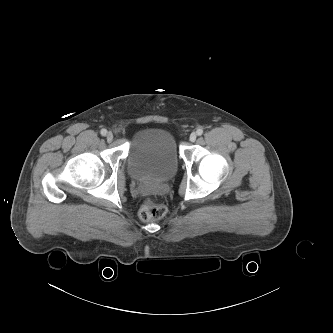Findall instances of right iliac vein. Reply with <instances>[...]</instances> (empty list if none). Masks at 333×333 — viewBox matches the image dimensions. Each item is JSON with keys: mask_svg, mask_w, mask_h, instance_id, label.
Masks as SVG:
<instances>
[{"mask_svg": "<svg viewBox=\"0 0 333 333\" xmlns=\"http://www.w3.org/2000/svg\"><path fill=\"white\" fill-rule=\"evenodd\" d=\"M106 139L108 142H111L113 140V134L111 132H108L106 135Z\"/></svg>", "mask_w": 333, "mask_h": 333, "instance_id": "obj_1", "label": "right iliac vein"}]
</instances>
